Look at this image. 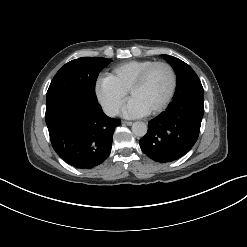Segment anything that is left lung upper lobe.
Returning a JSON list of instances; mask_svg holds the SVG:
<instances>
[{
    "label": "left lung upper lobe",
    "instance_id": "5c2ea615",
    "mask_svg": "<svg viewBox=\"0 0 247 247\" xmlns=\"http://www.w3.org/2000/svg\"><path fill=\"white\" fill-rule=\"evenodd\" d=\"M161 56L172 66L177 75V87L170 104L185 96L204 93L200 79L188 64L173 56Z\"/></svg>",
    "mask_w": 247,
    "mask_h": 247
}]
</instances>
